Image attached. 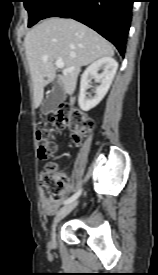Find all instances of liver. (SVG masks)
<instances>
[{
	"instance_id": "6515ba94",
	"label": "liver",
	"mask_w": 158,
	"mask_h": 275,
	"mask_svg": "<svg viewBox=\"0 0 158 275\" xmlns=\"http://www.w3.org/2000/svg\"><path fill=\"white\" fill-rule=\"evenodd\" d=\"M33 82L34 107L43 101L44 87L56 78V60L71 72L58 75L64 92L72 94L82 66L112 57V45L86 25L73 19L51 17L31 29L24 39Z\"/></svg>"
}]
</instances>
